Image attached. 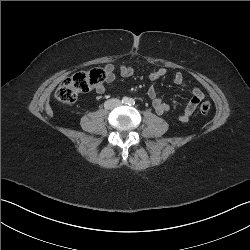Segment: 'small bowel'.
Instances as JSON below:
<instances>
[{
	"instance_id": "small-bowel-1",
	"label": "small bowel",
	"mask_w": 250,
	"mask_h": 250,
	"mask_svg": "<svg viewBox=\"0 0 250 250\" xmlns=\"http://www.w3.org/2000/svg\"><path fill=\"white\" fill-rule=\"evenodd\" d=\"M103 72L105 74L104 81L95 87V91L98 94H103L106 91L105 84L112 83L115 80L116 72H118L120 74V76H122L124 78H129V77L134 75L135 68L133 66H129V65L115 66L112 63H108L104 66ZM166 73H167L166 68L157 69L149 74V80L151 83H153L156 80L160 79L161 77L165 76ZM172 82L174 85L181 87V88H188L189 87L187 82L184 80L182 73H180V72H177L174 75ZM191 94H192V97H191L190 101L188 102V104L185 106L183 111L178 116H176V119L179 122H182V123L187 122L191 118L193 113L195 112L198 105L204 99V94L198 87H192ZM147 95L150 98L152 106L158 115H162L170 110L169 104H167L158 95L157 90L153 84H151L148 87Z\"/></svg>"
}]
</instances>
